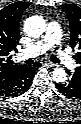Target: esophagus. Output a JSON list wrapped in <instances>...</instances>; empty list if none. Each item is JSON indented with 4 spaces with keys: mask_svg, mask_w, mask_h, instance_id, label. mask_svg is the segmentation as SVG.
Wrapping results in <instances>:
<instances>
[{
    "mask_svg": "<svg viewBox=\"0 0 81 124\" xmlns=\"http://www.w3.org/2000/svg\"><path fill=\"white\" fill-rule=\"evenodd\" d=\"M46 65H48L49 67H56V66H57V64H55V63H53V62H50V61H48V62L46 63Z\"/></svg>",
    "mask_w": 81,
    "mask_h": 124,
    "instance_id": "esophagus-1",
    "label": "esophagus"
}]
</instances>
